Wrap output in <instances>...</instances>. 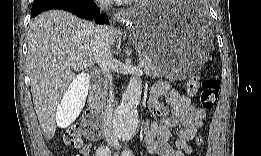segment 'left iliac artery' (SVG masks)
<instances>
[{
    "label": "left iliac artery",
    "mask_w": 261,
    "mask_h": 156,
    "mask_svg": "<svg viewBox=\"0 0 261 156\" xmlns=\"http://www.w3.org/2000/svg\"><path fill=\"white\" fill-rule=\"evenodd\" d=\"M123 140L124 141H128L129 140V138H123ZM122 155L123 156H132L133 154H132V151L129 149V148H126L125 150H124V152L122 153Z\"/></svg>",
    "instance_id": "obj_1"
}]
</instances>
